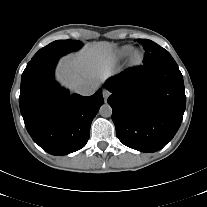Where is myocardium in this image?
I'll return each mask as SVG.
<instances>
[{"label": "myocardium", "mask_w": 207, "mask_h": 207, "mask_svg": "<svg viewBox=\"0 0 207 207\" xmlns=\"http://www.w3.org/2000/svg\"><path fill=\"white\" fill-rule=\"evenodd\" d=\"M144 61V53L140 49H135L131 52L129 58V67L137 68L142 65Z\"/></svg>", "instance_id": "myocardium-1"}]
</instances>
